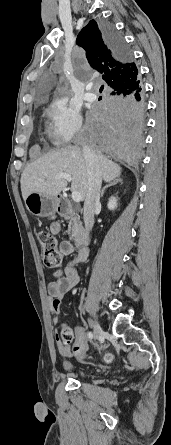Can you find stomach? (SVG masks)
<instances>
[{
    "label": "stomach",
    "instance_id": "obj_1",
    "mask_svg": "<svg viewBox=\"0 0 171 445\" xmlns=\"http://www.w3.org/2000/svg\"><path fill=\"white\" fill-rule=\"evenodd\" d=\"M25 205L27 210L34 216L53 217L58 208V199L57 197L33 192L25 199Z\"/></svg>",
    "mask_w": 171,
    "mask_h": 445
}]
</instances>
